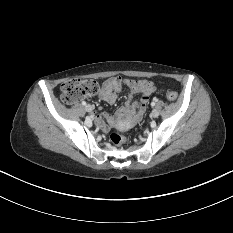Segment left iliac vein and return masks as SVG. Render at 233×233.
Returning <instances> with one entry per match:
<instances>
[{
  "mask_svg": "<svg viewBox=\"0 0 233 233\" xmlns=\"http://www.w3.org/2000/svg\"><path fill=\"white\" fill-rule=\"evenodd\" d=\"M159 116V111L154 109L152 110L151 114H150V117L151 118H157Z\"/></svg>",
  "mask_w": 233,
  "mask_h": 233,
  "instance_id": "1",
  "label": "left iliac vein"
}]
</instances>
